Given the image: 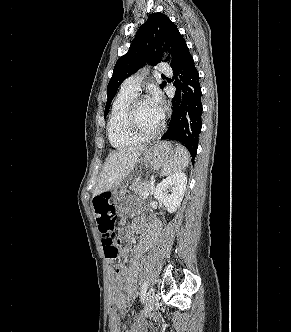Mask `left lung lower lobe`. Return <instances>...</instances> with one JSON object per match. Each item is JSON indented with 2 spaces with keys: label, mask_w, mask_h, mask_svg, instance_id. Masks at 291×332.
<instances>
[{
  "label": "left lung lower lobe",
  "mask_w": 291,
  "mask_h": 332,
  "mask_svg": "<svg viewBox=\"0 0 291 332\" xmlns=\"http://www.w3.org/2000/svg\"><path fill=\"white\" fill-rule=\"evenodd\" d=\"M172 69L174 86L178 90L172 99L173 111L169 127L162 138L182 142L194 159L202 127L203 110L199 73L187 46Z\"/></svg>",
  "instance_id": "left-lung-lower-lobe-1"
}]
</instances>
